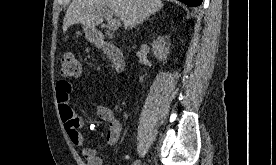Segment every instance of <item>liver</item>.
I'll list each match as a JSON object with an SVG mask.
<instances>
[{
  "label": "liver",
  "instance_id": "liver-1",
  "mask_svg": "<svg viewBox=\"0 0 276 165\" xmlns=\"http://www.w3.org/2000/svg\"><path fill=\"white\" fill-rule=\"evenodd\" d=\"M162 7L161 0H73L64 17L63 32L74 24L92 28L101 24L103 9H110L111 14L120 18L125 28H133Z\"/></svg>",
  "mask_w": 276,
  "mask_h": 165
}]
</instances>
